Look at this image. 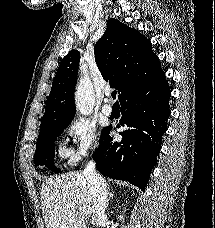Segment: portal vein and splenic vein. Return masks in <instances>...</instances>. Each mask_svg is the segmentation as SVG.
Returning a JSON list of instances; mask_svg holds the SVG:
<instances>
[{
	"instance_id": "portal-vein-and-splenic-vein-1",
	"label": "portal vein and splenic vein",
	"mask_w": 215,
	"mask_h": 228,
	"mask_svg": "<svg viewBox=\"0 0 215 228\" xmlns=\"http://www.w3.org/2000/svg\"><path fill=\"white\" fill-rule=\"evenodd\" d=\"M82 214H84V216H88L89 210H88V212H82Z\"/></svg>"
}]
</instances>
